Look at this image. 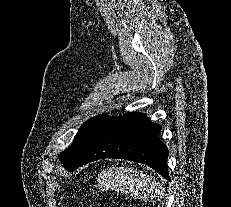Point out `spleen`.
Wrapping results in <instances>:
<instances>
[{
    "instance_id": "spleen-1",
    "label": "spleen",
    "mask_w": 231,
    "mask_h": 207,
    "mask_svg": "<svg viewBox=\"0 0 231 207\" xmlns=\"http://www.w3.org/2000/svg\"><path fill=\"white\" fill-rule=\"evenodd\" d=\"M108 176L106 184L112 190H119L144 201L161 198L162 188L159 183L143 172L137 173L133 169L119 167L113 169Z\"/></svg>"
}]
</instances>
